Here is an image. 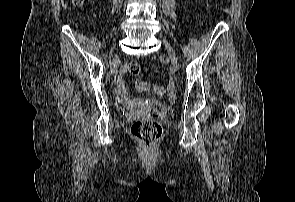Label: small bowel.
Instances as JSON below:
<instances>
[{
  "label": "small bowel",
  "instance_id": "c3829d8e",
  "mask_svg": "<svg viewBox=\"0 0 295 202\" xmlns=\"http://www.w3.org/2000/svg\"><path fill=\"white\" fill-rule=\"evenodd\" d=\"M124 73L125 70H123L120 80H122ZM117 90H121L119 98H127L124 81H117ZM125 107H153V102H149V98H136V102H125Z\"/></svg>",
  "mask_w": 295,
  "mask_h": 202
}]
</instances>
